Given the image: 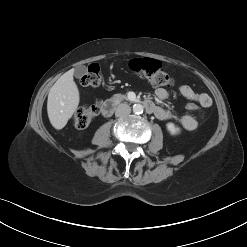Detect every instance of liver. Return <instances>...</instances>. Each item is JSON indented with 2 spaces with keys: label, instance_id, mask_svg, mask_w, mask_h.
Returning <instances> with one entry per match:
<instances>
[{
  "label": "liver",
  "instance_id": "6515ba94",
  "mask_svg": "<svg viewBox=\"0 0 247 247\" xmlns=\"http://www.w3.org/2000/svg\"><path fill=\"white\" fill-rule=\"evenodd\" d=\"M79 101L73 70H69L55 82L48 94L47 113L51 125L57 130L64 128L76 111Z\"/></svg>",
  "mask_w": 247,
  "mask_h": 247
}]
</instances>
